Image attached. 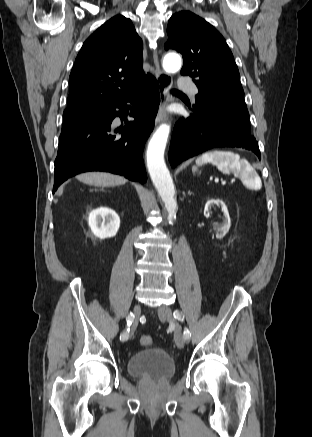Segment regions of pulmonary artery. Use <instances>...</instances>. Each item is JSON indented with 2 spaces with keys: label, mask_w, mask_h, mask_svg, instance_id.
<instances>
[{
  "label": "pulmonary artery",
  "mask_w": 312,
  "mask_h": 437,
  "mask_svg": "<svg viewBox=\"0 0 312 437\" xmlns=\"http://www.w3.org/2000/svg\"><path fill=\"white\" fill-rule=\"evenodd\" d=\"M178 85L182 89L189 90L192 95H196L198 93V90L194 85L186 78V77H180L178 80Z\"/></svg>",
  "instance_id": "1"
}]
</instances>
